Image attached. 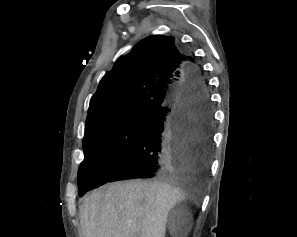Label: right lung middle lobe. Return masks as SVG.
I'll use <instances>...</instances> for the list:
<instances>
[{"label": "right lung middle lobe", "mask_w": 297, "mask_h": 237, "mask_svg": "<svg viewBox=\"0 0 297 237\" xmlns=\"http://www.w3.org/2000/svg\"><path fill=\"white\" fill-rule=\"evenodd\" d=\"M152 112L138 111L98 121L85 129L84 160L78 170L79 195L100 186L144 129Z\"/></svg>", "instance_id": "1"}]
</instances>
